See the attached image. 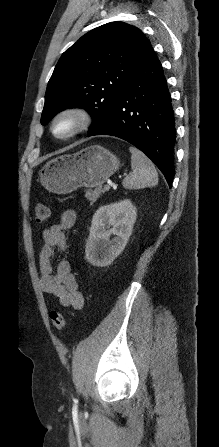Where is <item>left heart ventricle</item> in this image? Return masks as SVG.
<instances>
[{
  "label": "left heart ventricle",
  "mask_w": 219,
  "mask_h": 447,
  "mask_svg": "<svg viewBox=\"0 0 219 447\" xmlns=\"http://www.w3.org/2000/svg\"><path fill=\"white\" fill-rule=\"evenodd\" d=\"M71 126V122L67 120H63L57 123L55 130L57 133H64L66 132Z\"/></svg>",
  "instance_id": "1"
}]
</instances>
